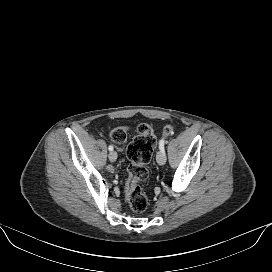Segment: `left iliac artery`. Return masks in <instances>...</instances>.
Returning <instances> with one entry per match:
<instances>
[{
  "label": "left iliac artery",
  "instance_id": "left-iliac-artery-1",
  "mask_svg": "<svg viewBox=\"0 0 272 272\" xmlns=\"http://www.w3.org/2000/svg\"><path fill=\"white\" fill-rule=\"evenodd\" d=\"M164 145H165V140L164 139L160 140V142H159V148H160L161 151H165L164 150Z\"/></svg>",
  "mask_w": 272,
  "mask_h": 272
}]
</instances>
